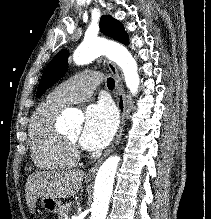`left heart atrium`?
Masks as SVG:
<instances>
[{
  "label": "left heart atrium",
  "instance_id": "39dd6f15",
  "mask_svg": "<svg viewBox=\"0 0 211 219\" xmlns=\"http://www.w3.org/2000/svg\"><path fill=\"white\" fill-rule=\"evenodd\" d=\"M117 116L113 107L100 102L88 107L80 144L87 150L104 148L112 139L117 128Z\"/></svg>",
  "mask_w": 211,
  "mask_h": 219
}]
</instances>
